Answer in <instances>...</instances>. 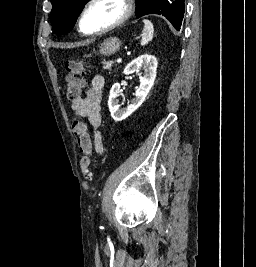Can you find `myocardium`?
Wrapping results in <instances>:
<instances>
[{"label": "myocardium", "mask_w": 256, "mask_h": 267, "mask_svg": "<svg viewBox=\"0 0 256 267\" xmlns=\"http://www.w3.org/2000/svg\"><path fill=\"white\" fill-rule=\"evenodd\" d=\"M106 1L116 4L121 9L122 11L121 17L102 31L95 32V33L85 32L82 27V19H83L85 12L88 9H90L93 5L97 3H101V2H106ZM131 12H132L131 7L125 0H91L80 9L78 16H77V26H78L80 33H82L84 36H88V37L102 36L112 31L116 27L122 25L127 20V18L131 15Z\"/></svg>", "instance_id": "myocardium-1"}]
</instances>
